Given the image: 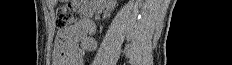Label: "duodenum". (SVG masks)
<instances>
[{"label":"duodenum","instance_id":"410a0bca","mask_svg":"<svg viewBox=\"0 0 232 65\" xmlns=\"http://www.w3.org/2000/svg\"><path fill=\"white\" fill-rule=\"evenodd\" d=\"M77 7L82 12V14L85 16V19L83 21L85 22L86 26L89 29H91L92 28V24H91L90 20L88 19V16L90 14V9H89L88 2L87 1H78L77 2Z\"/></svg>","mask_w":232,"mask_h":65}]
</instances>
